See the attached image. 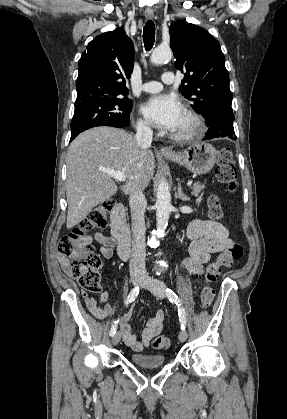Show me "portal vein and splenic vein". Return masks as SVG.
<instances>
[{"label": "portal vein and splenic vein", "mask_w": 287, "mask_h": 419, "mask_svg": "<svg viewBox=\"0 0 287 419\" xmlns=\"http://www.w3.org/2000/svg\"><path fill=\"white\" fill-rule=\"evenodd\" d=\"M101 171L109 174L113 179L124 182L126 180V176L124 173L115 171V170H109V169H101ZM192 185V180H189L187 182V186Z\"/></svg>", "instance_id": "18ae733b"}]
</instances>
